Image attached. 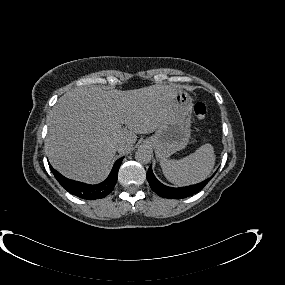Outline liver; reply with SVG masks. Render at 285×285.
<instances>
[{
    "instance_id": "liver-1",
    "label": "liver",
    "mask_w": 285,
    "mask_h": 285,
    "mask_svg": "<svg viewBox=\"0 0 285 285\" xmlns=\"http://www.w3.org/2000/svg\"><path fill=\"white\" fill-rule=\"evenodd\" d=\"M176 91L168 85H152L128 91L80 87L66 92L47 120L45 147L50 163L68 178L101 182L117 151H130L136 134L161 126ZM118 143H123L119 149Z\"/></svg>"
}]
</instances>
